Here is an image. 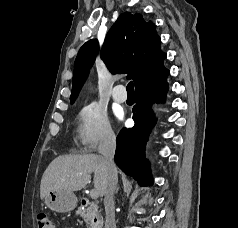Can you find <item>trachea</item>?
I'll list each match as a JSON object with an SVG mask.
<instances>
[{
    "instance_id": "trachea-1",
    "label": "trachea",
    "mask_w": 238,
    "mask_h": 228,
    "mask_svg": "<svg viewBox=\"0 0 238 228\" xmlns=\"http://www.w3.org/2000/svg\"><path fill=\"white\" fill-rule=\"evenodd\" d=\"M127 93L128 95H134V84L133 82H129L128 85H127Z\"/></svg>"
}]
</instances>
